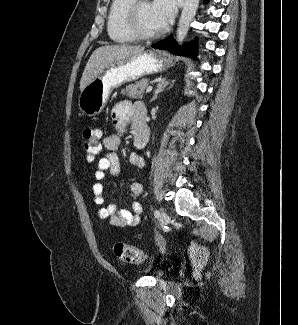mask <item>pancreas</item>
Instances as JSON below:
<instances>
[{"instance_id": "pancreas-1", "label": "pancreas", "mask_w": 298, "mask_h": 325, "mask_svg": "<svg viewBox=\"0 0 298 325\" xmlns=\"http://www.w3.org/2000/svg\"><path fill=\"white\" fill-rule=\"evenodd\" d=\"M149 82L150 78H141V80H137L134 84H128L125 88H121L120 94H124L128 98H143L144 90Z\"/></svg>"}]
</instances>
